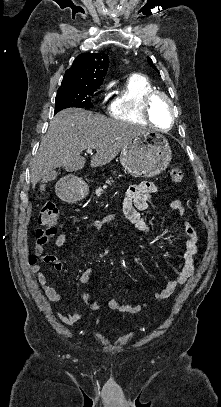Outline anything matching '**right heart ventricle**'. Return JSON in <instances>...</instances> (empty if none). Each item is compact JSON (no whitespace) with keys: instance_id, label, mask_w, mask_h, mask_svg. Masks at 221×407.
I'll use <instances>...</instances> for the list:
<instances>
[{"instance_id":"right-heart-ventricle-1","label":"right heart ventricle","mask_w":221,"mask_h":407,"mask_svg":"<svg viewBox=\"0 0 221 407\" xmlns=\"http://www.w3.org/2000/svg\"><path fill=\"white\" fill-rule=\"evenodd\" d=\"M155 87L148 78L142 75L130 77L123 89L114 96L107 107L108 114L117 120L137 124H147L141 111L144 98Z\"/></svg>"}]
</instances>
